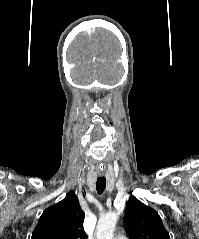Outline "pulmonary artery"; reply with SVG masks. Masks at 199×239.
<instances>
[{"instance_id": "1", "label": "pulmonary artery", "mask_w": 199, "mask_h": 239, "mask_svg": "<svg viewBox=\"0 0 199 239\" xmlns=\"http://www.w3.org/2000/svg\"><path fill=\"white\" fill-rule=\"evenodd\" d=\"M114 239H127V237L122 234H118L114 237Z\"/></svg>"}]
</instances>
